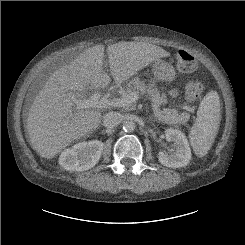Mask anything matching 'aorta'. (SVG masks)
Segmentation results:
<instances>
[{"label": "aorta", "mask_w": 245, "mask_h": 245, "mask_svg": "<svg viewBox=\"0 0 245 245\" xmlns=\"http://www.w3.org/2000/svg\"><path fill=\"white\" fill-rule=\"evenodd\" d=\"M135 127L136 125L133 121L128 120L123 123V130L125 132H133L135 130Z\"/></svg>", "instance_id": "1"}]
</instances>
